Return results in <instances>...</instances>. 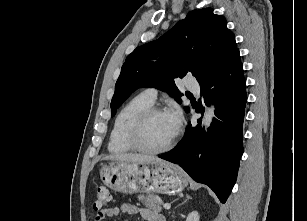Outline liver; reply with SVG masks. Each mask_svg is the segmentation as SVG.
I'll list each match as a JSON object with an SVG mask.
<instances>
[{
  "label": "liver",
  "mask_w": 307,
  "mask_h": 221,
  "mask_svg": "<svg viewBox=\"0 0 307 221\" xmlns=\"http://www.w3.org/2000/svg\"><path fill=\"white\" fill-rule=\"evenodd\" d=\"M104 160L121 161V162H137V163L163 161L154 156L133 154V153H120V154L109 155V156H106Z\"/></svg>",
  "instance_id": "obj_1"
}]
</instances>
